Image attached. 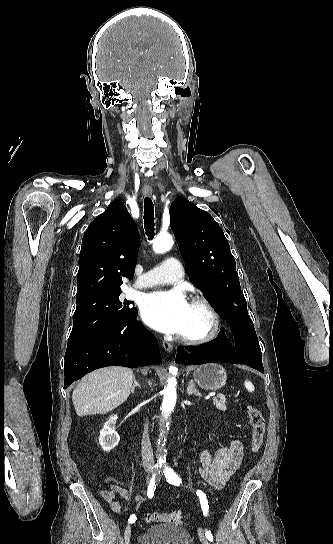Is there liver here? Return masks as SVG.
I'll use <instances>...</instances> for the list:
<instances>
[{
	"label": "liver",
	"instance_id": "obj_1",
	"mask_svg": "<svg viewBox=\"0 0 333 544\" xmlns=\"http://www.w3.org/2000/svg\"><path fill=\"white\" fill-rule=\"evenodd\" d=\"M133 376V371L124 367H106L87 374L72 394L77 415L104 414L117 408L129 397Z\"/></svg>",
	"mask_w": 333,
	"mask_h": 544
}]
</instances>
